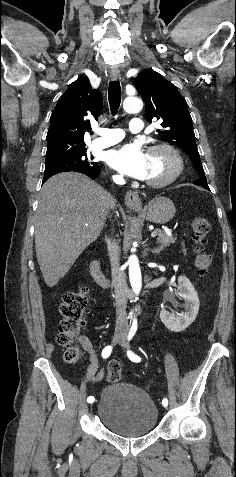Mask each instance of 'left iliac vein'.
Listing matches in <instances>:
<instances>
[{"mask_svg": "<svg viewBox=\"0 0 236 477\" xmlns=\"http://www.w3.org/2000/svg\"><path fill=\"white\" fill-rule=\"evenodd\" d=\"M119 343H120V345H121L122 347H124V348H127V347H128V344H127V342H126V340H125V337H124L123 340L120 341ZM162 410H163L164 413H166V414L169 413V411H170V410H169V407H168V405H167L166 403H163V404H162Z\"/></svg>", "mask_w": 236, "mask_h": 477, "instance_id": "left-iliac-vein-1", "label": "left iliac vein"}]
</instances>
